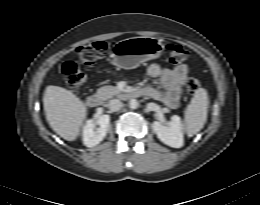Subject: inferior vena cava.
Masks as SVG:
<instances>
[{"mask_svg": "<svg viewBox=\"0 0 260 205\" xmlns=\"http://www.w3.org/2000/svg\"><path fill=\"white\" fill-rule=\"evenodd\" d=\"M123 106V103L119 99H112L109 101L108 107L111 111H119Z\"/></svg>", "mask_w": 260, "mask_h": 205, "instance_id": "602c4592", "label": "inferior vena cava"}]
</instances>
